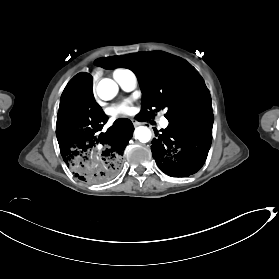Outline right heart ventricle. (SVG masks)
<instances>
[{
  "mask_svg": "<svg viewBox=\"0 0 279 279\" xmlns=\"http://www.w3.org/2000/svg\"><path fill=\"white\" fill-rule=\"evenodd\" d=\"M119 71H121L123 74H128V73H132L130 70L127 69H117ZM116 71V70H115ZM117 82V81H116Z\"/></svg>",
  "mask_w": 279,
  "mask_h": 279,
  "instance_id": "e07e8e85",
  "label": "right heart ventricle"
}]
</instances>
